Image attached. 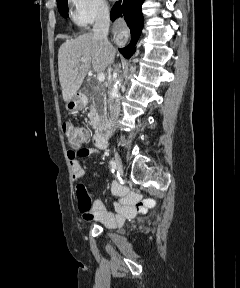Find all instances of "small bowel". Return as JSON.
<instances>
[{
  "label": "small bowel",
  "instance_id": "obj_1",
  "mask_svg": "<svg viewBox=\"0 0 240 288\" xmlns=\"http://www.w3.org/2000/svg\"><path fill=\"white\" fill-rule=\"evenodd\" d=\"M85 135L87 138L86 131ZM99 151L100 148H82V144L72 146L68 151V159L74 181H79L85 176V171L80 165L78 157H87ZM112 192L119 199L115 204L116 213L107 211L101 200L91 201L86 187L81 183L77 184L76 197L82 217L89 221H99L107 227H117L121 226L126 219L133 217L137 211L143 209V205L138 204L137 195L129 193L124 186L114 183Z\"/></svg>",
  "mask_w": 240,
  "mask_h": 288
}]
</instances>
